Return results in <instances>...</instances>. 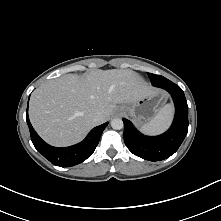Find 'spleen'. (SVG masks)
<instances>
[{"instance_id": "1", "label": "spleen", "mask_w": 221, "mask_h": 221, "mask_svg": "<svg viewBox=\"0 0 221 221\" xmlns=\"http://www.w3.org/2000/svg\"><path fill=\"white\" fill-rule=\"evenodd\" d=\"M173 114V107L171 104H166L160 111L155 115V117L144 124L141 127V131L145 134H159L166 130L171 122Z\"/></svg>"}]
</instances>
